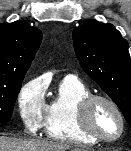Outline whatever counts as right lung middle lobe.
<instances>
[{
	"instance_id": "right-lung-middle-lobe-1",
	"label": "right lung middle lobe",
	"mask_w": 131,
	"mask_h": 151,
	"mask_svg": "<svg viewBox=\"0 0 131 151\" xmlns=\"http://www.w3.org/2000/svg\"><path fill=\"white\" fill-rule=\"evenodd\" d=\"M23 78H0V123L10 120Z\"/></svg>"
}]
</instances>
